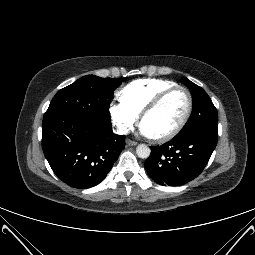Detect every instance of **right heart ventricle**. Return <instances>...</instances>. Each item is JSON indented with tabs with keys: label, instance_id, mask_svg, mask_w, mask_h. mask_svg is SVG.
I'll return each instance as SVG.
<instances>
[{
	"label": "right heart ventricle",
	"instance_id": "e07e8e85",
	"mask_svg": "<svg viewBox=\"0 0 255 255\" xmlns=\"http://www.w3.org/2000/svg\"><path fill=\"white\" fill-rule=\"evenodd\" d=\"M175 85L164 79H140L126 85L120 96L121 100L140 114L159 93Z\"/></svg>",
	"mask_w": 255,
	"mask_h": 255
}]
</instances>
